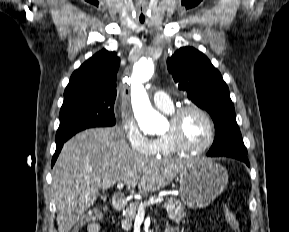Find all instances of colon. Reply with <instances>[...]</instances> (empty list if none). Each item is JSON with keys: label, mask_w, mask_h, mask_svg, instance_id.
Wrapping results in <instances>:
<instances>
[{"label": "colon", "mask_w": 289, "mask_h": 232, "mask_svg": "<svg viewBox=\"0 0 289 232\" xmlns=\"http://www.w3.org/2000/svg\"><path fill=\"white\" fill-rule=\"evenodd\" d=\"M223 210H224V215L226 218V221L228 222V224L230 225L231 229L233 230V232H242L240 225H239V221L234 213V211L232 210V208L225 204L223 206ZM99 216L98 212H93L91 215H85L83 216L77 223L76 225L71 229L70 232H81L82 228L85 226V224L92 218H96Z\"/></svg>", "instance_id": "obj_1"}]
</instances>
